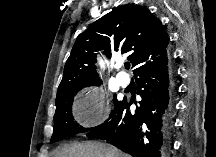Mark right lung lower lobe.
Returning a JSON list of instances; mask_svg holds the SVG:
<instances>
[{
    "instance_id": "right-lung-lower-lobe-1",
    "label": "right lung lower lobe",
    "mask_w": 216,
    "mask_h": 157,
    "mask_svg": "<svg viewBox=\"0 0 216 157\" xmlns=\"http://www.w3.org/2000/svg\"><path fill=\"white\" fill-rule=\"evenodd\" d=\"M134 75L137 94L142 98L135 113L131 114V103L125 98L114 116L87 136L104 139L133 157H166L171 144L175 92L167 52L140 67Z\"/></svg>"
}]
</instances>
